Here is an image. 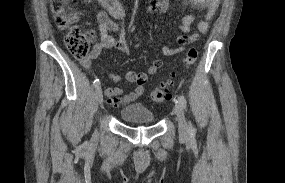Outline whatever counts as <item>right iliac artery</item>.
Masks as SVG:
<instances>
[{
  "label": "right iliac artery",
  "mask_w": 285,
  "mask_h": 183,
  "mask_svg": "<svg viewBox=\"0 0 285 183\" xmlns=\"http://www.w3.org/2000/svg\"><path fill=\"white\" fill-rule=\"evenodd\" d=\"M94 86H99L100 82H99V79H96L94 82H93Z\"/></svg>",
  "instance_id": "82829eb1"
}]
</instances>
